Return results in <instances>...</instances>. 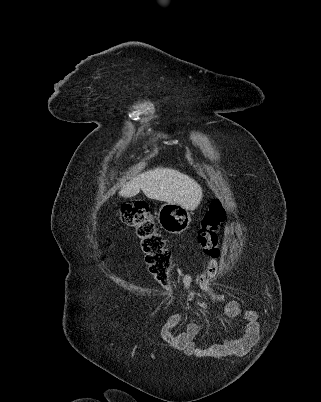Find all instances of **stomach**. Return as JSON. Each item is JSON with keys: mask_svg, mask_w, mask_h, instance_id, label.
Instances as JSON below:
<instances>
[{"mask_svg": "<svg viewBox=\"0 0 321 402\" xmlns=\"http://www.w3.org/2000/svg\"><path fill=\"white\" fill-rule=\"evenodd\" d=\"M157 219L161 228L171 234L182 233L190 222L188 210L174 203L163 204L159 208Z\"/></svg>", "mask_w": 321, "mask_h": 402, "instance_id": "0dacf381", "label": "stomach"}]
</instances>
